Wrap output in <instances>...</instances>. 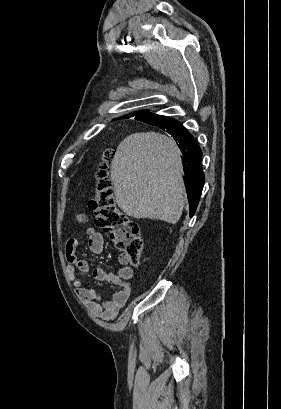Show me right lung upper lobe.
<instances>
[{
    "label": "right lung upper lobe",
    "mask_w": 281,
    "mask_h": 409,
    "mask_svg": "<svg viewBox=\"0 0 281 409\" xmlns=\"http://www.w3.org/2000/svg\"><path fill=\"white\" fill-rule=\"evenodd\" d=\"M141 113H145V111L135 112V113H133V114H130V115L124 116L123 118H128V117H131V116H134V115H139V114H141Z\"/></svg>",
    "instance_id": "right-lung-upper-lobe-1"
}]
</instances>
